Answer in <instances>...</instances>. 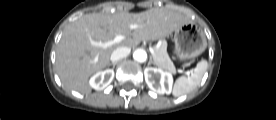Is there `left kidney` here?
Segmentation results:
<instances>
[{"mask_svg": "<svg viewBox=\"0 0 276 120\" xmlns=\"http://www.w3.org/2000/svg\"><path fill=\"white\" fill-rule=\"evenodd\" d=\"M145 81L148 87L158 93H169L173 84L171 73L165 72L160 68L147 67L144 70Z\"/></svg>", "mask_w": 276, "mask_h": 120, "instance_id": "left-kidney-1", "label": "left kidney"}]
</instances>
